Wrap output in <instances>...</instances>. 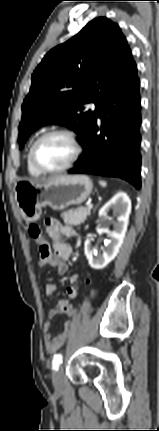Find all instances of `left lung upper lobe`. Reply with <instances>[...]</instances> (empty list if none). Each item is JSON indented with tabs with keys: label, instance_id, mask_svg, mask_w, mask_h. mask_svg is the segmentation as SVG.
<instances>
[{
	"label": "left lung upper lobe",
	"instance_id": "obj_1",
	"mask_svg": "<svg viewBox=\"0 0 159 431\" xmlns=\"http://www.w3.org/2000/svg\"><path fill=\"white\" fill-rule=\"evenodd\" d=\"M133 62L119 26L104 17L50 50L35 69L22 105L20 149L32 132L48 123L73 129L82 142L98 107ZM91 102L96 109L85 111Z\"/></svg>",
	"mask_w": 159,
	"mask_h": 431
}]
</instances>
